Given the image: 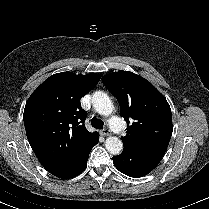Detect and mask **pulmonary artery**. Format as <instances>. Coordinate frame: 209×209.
Segmentation results:
<instances>
[{
    "mask_svg": "<svg viewBox=\"0 0 209 209\" xmlns=\"http://www.w3.org/2000/svg\"><path fill=\"white\" fill-rule=\"evenodd\" d=\"M110 126L117 134H122L124 132V127L121 120L117 116H113L110 120Z\"/></svg>",
    "mask_w": 209,
    "mask_h": 209,
    "instance_id": "obj_1",
    "label": "pulmonary artery"
}]
</instances>
